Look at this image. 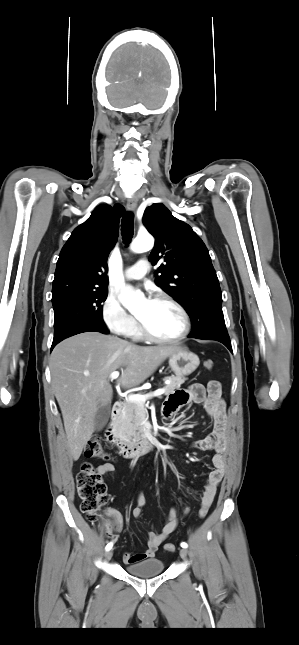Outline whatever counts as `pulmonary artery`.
Wrapping results in <instances>:
<instances>
[{
  "instance_id": "obj_1",
  "label": "pulmonary artery",
  "mask_w": 299,
  "mask_h": 645,
  "mask_svg": "<svg viewBox=\"0 0 299 645\" xmlns=\"http://www.w3.org/2000/svg\"><path fill=\"white\" fill-rule=\"evenodd\" d=\"M150 265L147 260H139L133 266L128 268L125 271V278L128 280H140L142 279L149 271Z\"/></svg>"
}]
</instances>
